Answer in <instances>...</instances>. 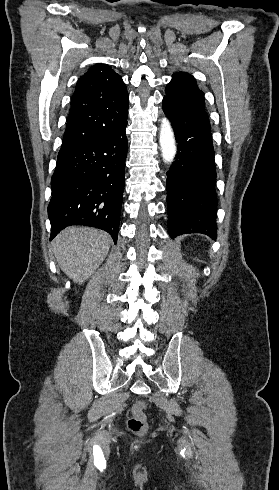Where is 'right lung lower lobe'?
Masks as SVG:
<instances>
[{
    "instance_id": "obj_1",
    "label": "right lung lower lobe",
    "mask_w": 279,
    "mask_h": 490,
    "mask_svg": "<svg viewBox=\"0 0 279 490\" xmlns=\"http://www.w3.org/2000/svg\"><path fill=\"white\" fill-rule=\"evenodd\" d=\"M126 126L59 151L48 205L50 240L67 226L84 225L107 231L116 244L125 184Z\"/></svg>"
}]
</instances>
